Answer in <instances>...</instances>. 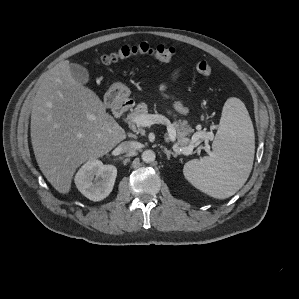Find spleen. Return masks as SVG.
I'll return each mask as SVG.
<instances>
[{
    "label": "spleen",
    "mask_w": 299,
    "mask_h": 299,
    "mask_svg": "<svg viewBox=\"0 0 299 299\" xmlns=\"http://www.w3.org/2000/svg\"><path fill=\"white\" fill-rule=\"evenodd\" d=\"M212 149L209 156L188 161L183 174L207 195L225 199L245 184L254 160V128L240 99L232 97L225 102Z\"/></svg>",
    "instance_id": "spleen-1"
}]
</instances>
